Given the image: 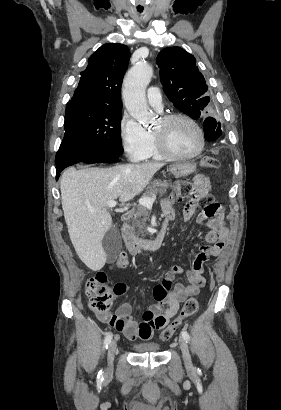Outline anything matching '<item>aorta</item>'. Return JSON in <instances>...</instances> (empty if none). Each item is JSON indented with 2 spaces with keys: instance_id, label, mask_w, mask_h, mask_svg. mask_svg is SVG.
Returning <instances> with one entry per match:
<instances>
[{
  "instance_id": "1",
  "label": "aorta",
  "mask_w": 281,
  "mask_h": 410,
  "mask_svg": "<svg viewBox=\"0 0 281 410\" xmlns=\"http://www.w3.org/2000/svg\"><path fill=\"white\" fill-rule=\"evenodd\" d=\"M152 75L153 68L147 63L139 62L129 70L124 81V105L130 115L144 126L150 125L154 120L145 96Z\"/></svg>"
}]
</instances>
